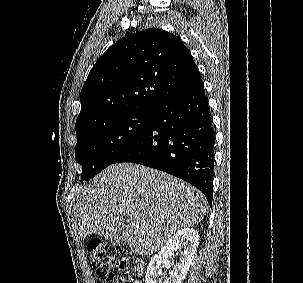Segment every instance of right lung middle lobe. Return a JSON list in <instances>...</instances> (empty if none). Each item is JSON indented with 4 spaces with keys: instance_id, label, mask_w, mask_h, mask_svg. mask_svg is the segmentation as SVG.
<instances>
[{
    "instance_id": "1",
    "label": "right lung middle lobe",
    "mask_w": 303,
    "mask_h": 283,
    "mask_svg": "<svg viewBox=\"0 0 303 283\" xmlns=\"http://www.w3.org/2000/svg\"><path fill=\"white\" fill-rule=\"evenodd\" d=\"M152 115L153 111H130L76 132L81 180L89 181L132 146L148 128Z\"/></svg>"
}]
</instances>
